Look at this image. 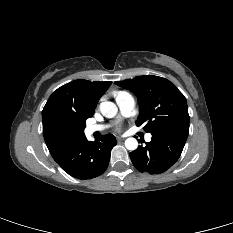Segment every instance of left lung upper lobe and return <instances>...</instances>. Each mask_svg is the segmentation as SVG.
Returning a JSON list of instances; mask_svg holds the SVG:
<instances>
[{
	"label": "left lung upper lobe",
	"mask_w": 233,
	"mask_h": 233,
	"mask_svg": "<svg viewBox=\"0 0 233 233\" xmlns=\"http://www.w3.org/2000/svg\"><path fill=\"white\" fill-rule=\"evenodd\" d=\"M115 84L137 96L140 114L136 125L145 124L146 132L156 134L177 128L189 129L186 98L169 80L147 75Z\"/></svg>",
	"instance_id": "obj_1"
}]
</instances>
